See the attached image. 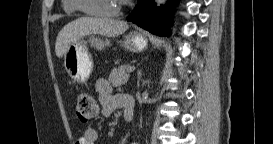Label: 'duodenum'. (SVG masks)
Segmentation results:
<instances>
[{"label": "duodenum", "instance_id": "duodenum-1", "mask_svg": "<svg viewBox=\"0 0 273 144\" xmlns=\"http://www.w3.org/2000/svg\"><path fill=\"white\" fill-rule=\"evenodd\" d=\"M118 100L124 112L123 114L124 120L131 121L134 117V107H135V102L133 97L126 94H121L119 95Z\"/></svg>", "mask_w": 273, "mask_h": 144}]
</instances>
